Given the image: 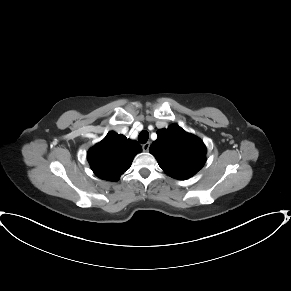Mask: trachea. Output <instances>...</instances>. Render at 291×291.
I'll return each mask as SVG.
<instances>
[{"instance_id": "trachea-1", "label": "trachea", "mask_w": 291, "mask_h": 291, "mask_svg": "<svg viewBox=\"0 0 291 291\" xmlns=\"http://www.w3.org/2000/svg\"><path fill=\"white\" fill-rule=\"evenodd\" d=\"M149 138V133L146 130H143L140 132L139 136H138V141L141 144H145L148 141Z\"/></svg>"}]
</instances>
